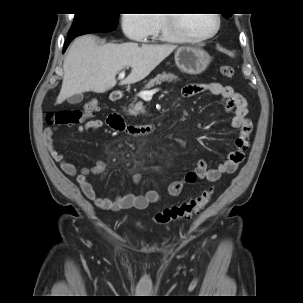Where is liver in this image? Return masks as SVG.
Masks as SVG:
<instances>
[{
	"instance_id": "obj_1",
	"label": "liver",
	"mask_w": 303,
	"mask_h": 303,
	"mask_svg": "<svg viewBox=\"0 0 303 303\" xmlns=\"http://www.w3.org/2000/svg\"><path fill=\"white\" fill-rule=\"evenodd\" d=\"M176 48L172 44L128 42L99 45L93 35L75 39L64 60V77L57 104L76 94L104 93L116 85V75L124 67L131 73L120 82L133 84L147 77Z\"/></svg>"
}]
</instances>
